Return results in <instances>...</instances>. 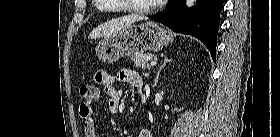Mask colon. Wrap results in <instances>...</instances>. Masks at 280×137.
<instances>
[{
  "label": "colon",
  "mask_w": 280,
  "mask_h": 137,
  "mask_svg": "<svg viewBox=\"0 0 280 137\" xmlns=\"http://www.w3.org/2000/svg\"><path fill=\"white\" fill-rule=\"evenodd\" d=\"M80 97L87 103L95 102L99 97V91L94 85H82L80 87Z\"/></svg>",
  "instance_id": "obj_1"
}]
</instances>
